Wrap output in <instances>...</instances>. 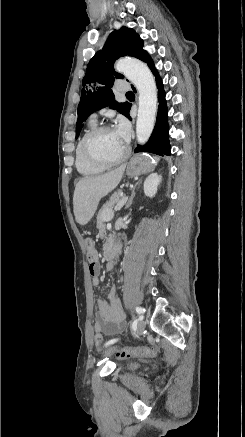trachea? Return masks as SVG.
<instances>
[{"label":"trachea","instance_id":"1","mask_svg":"<svg viewBox=\"0 0 245 437\" xmlns=\"http://www.w3.org/2000/svg\"><path fill=\"white\" fill-rule=\"evenodd\" d=\"M126 95H133V92L129 91V92L126 93Z\"/></svg>","mask_w":245,"mask_h":437}]
</instances>
